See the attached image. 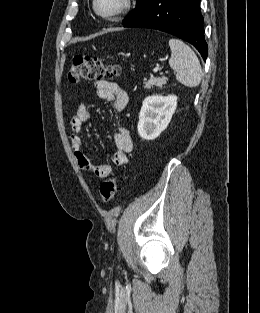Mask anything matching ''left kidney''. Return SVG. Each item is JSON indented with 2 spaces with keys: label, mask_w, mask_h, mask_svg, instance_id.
Masks as SVG:
<instances>
[{
  "label": "left kidney",
  "mask_w": 260,
  "mask_h": 313,
  "mask_svg": "<svg viewBox=\"0 0 260 313\" xmlns=\"http://www.w3.org/2000/svg\"><path fill=\"white\" fill-rule=\"evenodd\" d=\"M177 107L175 95H152L143 101L137 125L138 133L144 140L156 139L171 121Z\"/></svg>",
  "instance_id": "left-kidney-1"
}]
</instances>
